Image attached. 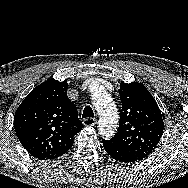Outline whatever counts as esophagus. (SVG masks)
I'll list each match as a JSON object with an SVG mask.
<instances>
[{
	"label": "esophagus",
	"instance_id": "1",
	"mask_svg": "<svg viewBox=\"0 0 188 188\" xmlns=\"http://www.w3.org/2000/svg\"><path fill=\"white\" fill-rule=\"evenodd\" d=\"M85 126H95L97 124V119L95 118H86L83 120Z\"/></svg>",
	"mask_w": 188,
	"mask_h": 188
}]
</instances>
